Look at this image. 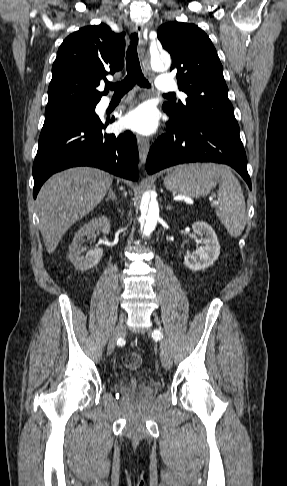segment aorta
Returning <instances> with one entry per match:
<instances>
[{"mask_svg": "<svg viewBox=\"0 0 287 486\" xmlns=\"http://www.w3.org/2000/svg\"><path fill=\"white\" fill-rule=\"evenodd\" d=\"M170 56L161 55L159 53L151 54L150 65L155 71L164 69L170 66ZM140 221L142 228V235L149 237L154 231L159 219V205L156 196H151L149 200L142 199L140 205Z\"/></svg>", "mask_w": 287, "mask_h": 486, "instance_id": "obj_1", "label": "aorta"}]
</instances>
